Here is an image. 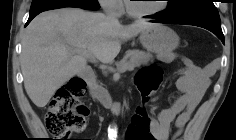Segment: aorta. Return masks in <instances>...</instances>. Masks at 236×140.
<instances>
[{
	"label": "aorta",
	"mask_w": 236,
	"mask_h": 140,
	"mask_svg": "<svg viewBox=\"0 0 236 140\" xmlns=\"http://www.w3.org/2000/svg\"><path fill=\"white\" fill-rule=\"evenodd\" d=\"M114 128H115V127H114V126H112V130H114Z\"/></svg>",
	"instance_id": "obj_1"
}]
</instances>
